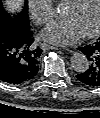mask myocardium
<instances>
[{"label": "myocardium", "instance_id": "myocardium-1", "mask_svg": "<svg viewBox=\"0 0 100 118\" xmlns=\"http://www.w3.org/2000/svg\"><path fill=\"white\" fill-rule=\"evenodd\" d=\"M83 2V0H70L68 3L73 6H78ZM100 2V1H99ZM100 33V7H99V17L96 27L90 32L84 33L83 36L85 38H93Z\"/></svg>", "mask_w": 100, "mask_h": 118}]
</instances>
